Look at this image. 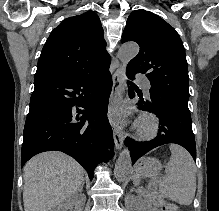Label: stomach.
I'll return each instance as SVG.
<instances>
[{
	"label": "stomach",
	"mask_w": 219,
	"mask_h": 211,
	"mask_svg": "<svg viewBox=\"0 0 219 211\" xmlns=\"http://www.w3.org/2000/svg\"><path fill=\"white\" fill-rule=\"evenodd\" d=\"M162 170L159 160L151 157H142L135 165L136 173L145 177H156Z\"/></svg>",
	"instance_id": "stomach-1"
}]
</instances>
